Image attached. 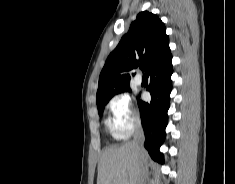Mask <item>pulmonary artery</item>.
Returning <instances> with one entry per match:
<instances>
[{
    "mask_svg": "<svg viewBox=\"0 0 235 184\" xmlns=\"http://www.w3.org/2000/svg\"><path fill=\"white\" fill-rule=\"evenodd\" d=\"M134 83L137 85V86H140L142 84V77L140 74H136L135 77H134Z\"/></svg>",
    "mask_w": 235,
    "mask_h": 184,
    "instance_id": "pulmonary-artery-1",
    "label": "pulmonary artery"
}]
</instances>
